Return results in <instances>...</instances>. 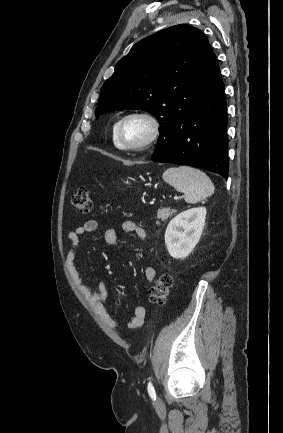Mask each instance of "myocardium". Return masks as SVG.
<instances>
[{
  "instance_id": "obj_1",
  "label": "myocardium",
  "mask_w": 283,
  "mask_h": 433,
  "mask_svg": "<svg viewBox=\"0 0 283 433\" xmlns=\"http://www.w3.org/2000/svg\"><path fill=\"white\" fill-rule=\"evenodd\" d=\"M135 117L143 118L149 122L151 126L150 134L145 140L139 143L125 144L121 140L122 126L128 119L135 118ZM161 134H162V123L158 116L146 110H134L126 113L120 118L114 131V138L117 146L120 149L126 151L138 152V151H145L152 148L160 139Z\"/></svg>"
}]
</instances>
